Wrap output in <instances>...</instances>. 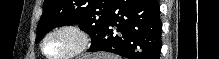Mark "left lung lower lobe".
Segmentation results:
<instances>
[{"label": "left lung lower lobe", "mask_w": 219, "mask_h": 59, "mask_svg": "<svg viewBox=\"0 0 219 59\" xmlns=\"http://www.w3.org/2000/svg\"><path fill=\"white\" fill-rule=\"evenodd\" d=\"M161 20L157 0H114L99 38L89 52L128 59H159Z\"/></svg>", "instance_id": "obj_1"}]
</instances>
